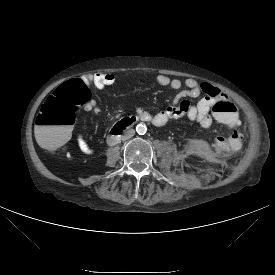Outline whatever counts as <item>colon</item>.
<instances>
[{
    "instance_id": "colon-1",
    "label": "colon",
    "mask_w": 275,
    "mask_h": 275,
    "mask_svg": "<svg viewBox=\"0 0 275 275\" xmlns=\"http://www.w3.org/2000/svg\"><path fill=\"white\" fill-rule=\"evenodd\" d=\"M140 87L149 83L145 74L136 78ZM89 102V89L82 80H72L58 86L41 106L36 118V136L39 144L52 150L62 145L72 131L76 112ZM218 121L226 129H234L242 122V115L228 99H219L213 106Z\"/></svg>"
}]
</instances>
